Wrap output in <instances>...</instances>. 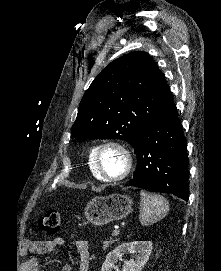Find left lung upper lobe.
Returning a JSON list of instances; mask_svg holds the SVG:
<instances>
[{
  "instance_id": "left-lung-upper-lobe-1",
  "label": "left lung upper lobe",
  "mask_w": 221,
  "mask_h": 271,
  "mask_svg": "<svg viewBox=\"0 0 221 271\" xmlns=\"http://www.w3.org/2000/svg\"><path fill=\"white\" fill-rule=\"evenodd\" d=\"M173 105L164 74L146 52H132L107 65L91 83L72 134L79 141L123 139L132 146Z\"/></svg>"
}]
</instances>
